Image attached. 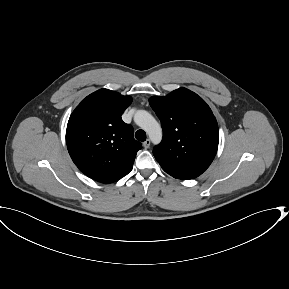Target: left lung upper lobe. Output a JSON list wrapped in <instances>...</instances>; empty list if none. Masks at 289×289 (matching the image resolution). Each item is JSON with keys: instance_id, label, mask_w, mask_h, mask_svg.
Masks as SVG:
<instances>
[{"instance_id": "left-lung-upper-lobe-1", "label": "left lung upper lobe", "mask_w": 289, "mask_h": 289, "mask_svg": "<svg viewBox=\"0 0 289 289\" xmlns=\"http://www.w3.org/2000/svg\"><path fill=\"white\" fill-rule=\"evenodd\" d=\"M161 121L162 142L153 154L162 169L177 179H194L213 161L219 142L216 118L196 93L179 88L149 99Z\"/></svg>"}]
</instances>
